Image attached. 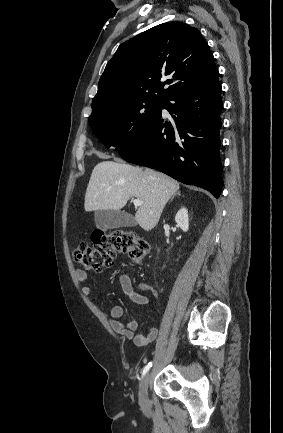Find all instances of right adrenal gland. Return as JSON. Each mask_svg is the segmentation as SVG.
Here are the masks:
<instances>
[{
	"label": "right adrenal gland",
	"instance_id": "2a0ac1e0",
	"mask_svg": "<svg viewBox=\"0 0 283 433\" xmlns=\"http://www.w3.org/2000/svg\"><path fill=\"white\" fill-rule=\"evenodd\" d=\"M175 194H178V196H180V190H177V192H175ZM175 194H173V196H171V200H173Z\"/></svg>",
	"mask_w": 283,
	"mask_h": 433
}]
</instances>
